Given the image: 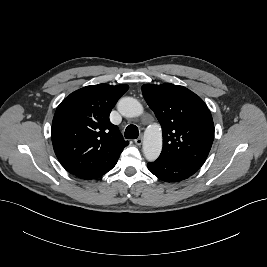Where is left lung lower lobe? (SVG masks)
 <instances>
[{
	"instance_id": "1",
	"label": "left lung lower lobe",
	"mask_w": 267,
	"mask_h": 267,
	"mask_svg": "<svg viewBox=\"0 0 267 267\" xmlns=\"http://www.w3.org/2000/svg\"><path fill=\"white\" fill-rule=\"evenodd\" d=\"M149 171L159 179L166 182H178L193 175L200 166L158 158L155 162L147 164Z\"/></svg>"
}]
</instances>
